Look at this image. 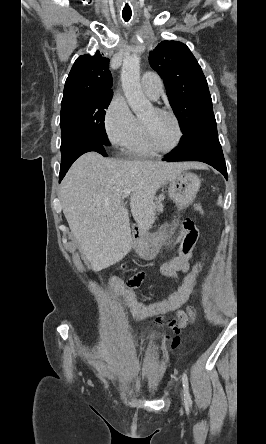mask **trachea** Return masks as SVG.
<instances>
[{
	"instance_id": "trachea-1",
	"label": "trachea",
	"mask_w": 266,
	"mask_h": 444,
	"mask_svg": "<svg viewBox=\"0 0 266 444\" xmlns=\"http://www.w3.org/2000/svg\"><path fill=\"white\" fill-rule=\"evenodd\" d=\"M131 15H132V11H131L130 7L128 6V4H126V6L122 12V17H123L124 21L128 22L131 18Z\"/></svg>"
}]
</instances>
